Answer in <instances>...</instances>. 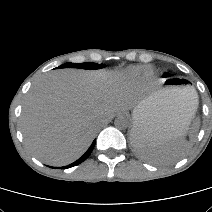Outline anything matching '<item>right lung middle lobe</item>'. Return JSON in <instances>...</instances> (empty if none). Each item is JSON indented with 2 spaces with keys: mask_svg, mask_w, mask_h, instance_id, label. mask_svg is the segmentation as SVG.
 <instances>
[{
  "mask_svg": "<svg viewBox=\"0 0 212 212\" xmlns=\"http://www.w3.org/2000/svg\"><path fill=\"white\" fill-rule=\"evenodd\" d=\"M68 67H75V68H83V69H100L104 67V64H95L91 62H85V63H65L59 66L58 68H68Z\"/></svg>",
  "mask_w": 212,
  "mask_h": 212,
  "instance_id": "dd1d6c3e",
  "label": "right lung middle lobe"
}]
</instances>
